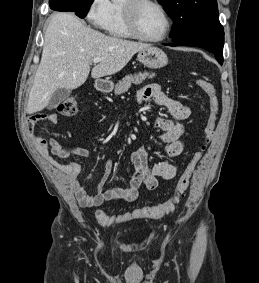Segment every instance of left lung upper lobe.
Masks as SVG:
<instances>
[{
  "mask_svg": "<svg viewBox=\"0 0 259 283\" xmlns=\"http://www.w3.org/2000/svg\"><path fill=\"white\" fill-rule=\"evenodd\" d=\"M174 21L173 41L215 29L220 24L216 0H158Z\"/></svg>",
  "mask_w": 259,
  "mask_h": 283,
  "instance_id": "left-lung-upper-lobe-1",
  "label": "left lung upper lobe"
}]
</instances>
